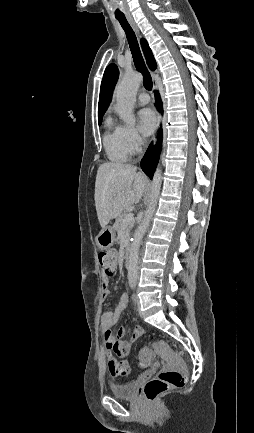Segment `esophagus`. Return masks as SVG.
<instances>
[{
  "label": "esophagus",
  "instance_id": "1",
  "mask_svg": "<svg viewBox=\"0 0 254 433\" xmlns=\"http://www.w3.org/2000/svg\"><path fill=\"white\" fill-rule=\"evenodd\" d=\"M129 22L132 25V27L134 28V30L136 31V33L139 35L138 26L136 25V23L133 21L132 18H129ZM152 75H154L153 72H152ZM153 86H154V89L156 90L157 89V82L156 81H154ZM157 119H158L157 126L159 128L160 127V123H161V119H162L161 114L159 112L157 113ZM156 140H157V135L154 136V144L156 143Z\"/></svg>",
  "mask_w": 254,
  "mask_h": 433
}]
</instances>
